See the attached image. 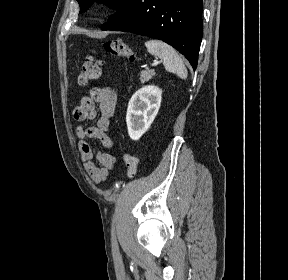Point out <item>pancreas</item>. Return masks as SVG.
Masks as SVG:
<instances>
[{"label":"pancreas","instance_id":"1","mask_svg":"<svg viewBox=\"0 0 288 280\" xmlns=\"http://www.w3.org/2000/svg\"><path fill=\"white\" fill-rule=\"evenodd\" d=\"M154 75H155V71L154 70H143V71H141V73H140V81H141V83L149 81Z\"/></svg>","mask_w":288,"mask_h":280}]
</instances>
